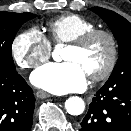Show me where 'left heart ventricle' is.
I'll use <instances>...</instances> for the list:
<instances>
[{"label": "left heart ventricle", "mask_w": 131, "mask_h": 131, "mask_svg": "<svg viewBox=\"0 0 131 131\" xmlns=\"http://www.w3.org/2000/svg\"><path fill=\"white\" fill-rule=\"evenodd\" d=\"M109 54L110 48L107 40L103 37H98L81 50L67 47L63 53V59L76 62L86 75L90 76L104 68Z\"/></svg>", "instance_id": "b2bd125f"}]
</instances>
